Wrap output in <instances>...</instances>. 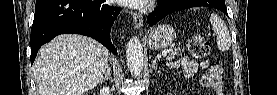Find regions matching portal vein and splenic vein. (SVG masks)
<instances>
[{"label": "portal vein and splenic vein", "mask_w": 277, "mask_h": 95, "mask_svg": "<svg viewBox=\"0 0 277 95\" xmlns=\"http://www.w3.org/2000/svg\"><path fill=\"white\" fill-rule=\"evenodd\" d=\"M169 52H170V50H164V51H162V56H166Z\"/></svg>", "instance_id": "1"}]
</instances>
